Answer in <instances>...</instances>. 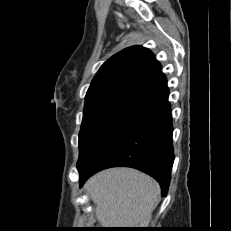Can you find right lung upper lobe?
Here are the masks:
<instances>
[{"label":"right lung upper lobe","instance_id":"right-lung-upper-lobe-1","mask_svg":"<svg viewBox=\"0 0 231 231\" xmlns=\"http://www.w3.org/2000/svg\"><path fill=\"white\" fill-rule=\"evenodd\" d=\"M112 95H129L148 104L169 95L161 65L149 49L133 46L108 59L91 83L85 106Z\"/></svg>","mask_w":231,"mask_h":231}]
</instances>
